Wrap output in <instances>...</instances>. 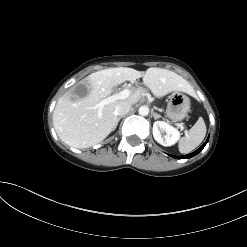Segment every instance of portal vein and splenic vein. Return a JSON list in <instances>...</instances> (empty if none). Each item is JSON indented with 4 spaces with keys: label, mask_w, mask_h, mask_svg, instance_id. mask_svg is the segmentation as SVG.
Segmentation results:
<instances>
[{
    "label": "portal vein and splenic vein",
    "mask_w": 247,
    "mask_h": 247,
    "mask_svg": "<svg viewBox=\"0 0 247 247\" xmlns=\"http://www.w3.org/2000/svg\"><path fill=\"white\" fill-rule=\"evenodd\" d=\"M131 95V90L130 89H124L121 92L114 94L112 96H109L105 98L104 100L100 101L97 105V108L102 109L105 105L112 103L117 100H123L128 98ZM177 126L181 129L184 130V126L182 123H178Z\"/></svg>",
    "instance_id": "1"
}]
</instances>
